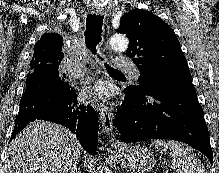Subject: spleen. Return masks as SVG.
<instances>
[{
	"label": "spleen",
	"mask_w": 219,
	"mask_h": 173,
	"mask_svg": "<svg viewBox=\"0 0 219 173\" xmlns=\"http://www.w3.org/2000/svg\"><path fill=\"white\" fill-rule=\"evenodd\" d=\"M152 144L160 153L166 154L170 151L172 158V167L177 173H207L201 161L189 147H184L183 144L169 140L156 139Z\"/></svg>",
	"instance_id": "spleen-1"
}]
</instances>
